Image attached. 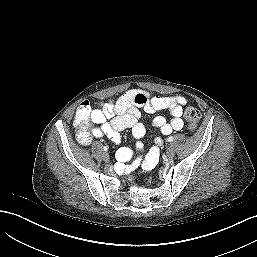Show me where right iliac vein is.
Listing matches in <instances>:
<instances>
[{
	"mask_svg": "<svg viewBox=\"0 0 257 257\" xmlns=\"http://www.w3.org/2000/svg\"><path fill=\"white\" fill-rule=\"evenodd\" d=\"M103 160H104L105 162H109L110 157H109V154H108L107 152H104V153H103Z\"/></svg>",
	"mask_w": 257,
	"mask_h": 257,
	"instance_id": "63e3f726",
	"label": "right iliac vein"
}]
</instances>
